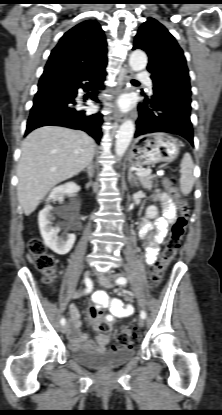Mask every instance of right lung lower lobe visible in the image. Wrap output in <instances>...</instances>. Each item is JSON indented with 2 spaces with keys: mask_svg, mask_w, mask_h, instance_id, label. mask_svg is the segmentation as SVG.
<instances>
[{
  "mask_svg": "<svg viewBox=\"0 0 222 415\" xmlns=\"http://www.w3.org/2000/svg\"><path fill=\"white\" fill-rule=\"evenodd\" d=\"M106 67V66H105ZM105 67L77 73L56 67H45L27 121L25 135L41 126H64L87 132L97 143L102 137V115L88 114L76 102L77 90H92L91 100L100 103L99 91L107 75Z\"/></svg>",
  "mask_w": 222,
  "mask_h": 415,
  "instance_id": "right-lung-lower-lobe-1",
  "label": "right lung lower lobe"
}]
</instances>
